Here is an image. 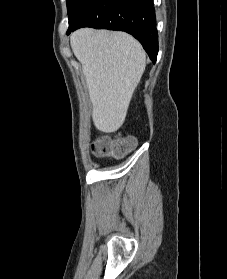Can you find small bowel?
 <instances>
[{
    "label": "small bowel",
    "instance_id": "obj_1",
    "mask_svg": "<svg viewBox=\"0 0 227 279\" xmlns=\"http://www.w3.org/2000/svg\"><path fill=\"white\" fill-rule=\"evenodd\" d=\"M125 139H126V137H124V136H122V135H119V136L115 137V140H125ZM105 140H106V141H110L109 138H106Z\"/></svg>",
    "mask_w": 227,
    "mask_h": 279
}]
</instances>
